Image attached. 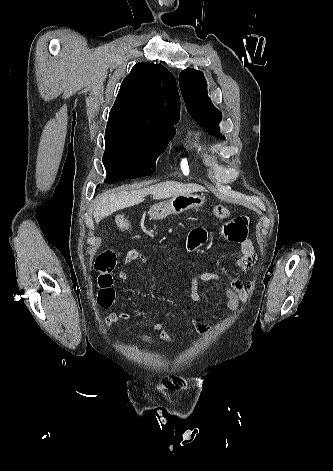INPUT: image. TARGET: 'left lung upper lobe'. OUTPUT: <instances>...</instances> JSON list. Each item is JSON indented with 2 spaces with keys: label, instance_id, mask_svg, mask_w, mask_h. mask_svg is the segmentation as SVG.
I'll return each instance as SVG.
<instances>
[{
  "label": "left lung upper lobe",
  "instance_id": "1",
  "mask_svg": "<svg viewBox=\"0 0 333 471\" xmlns=\"http://www.w3.org/2000/svg\"><path fill=\"white\" fill-rule=\"evenodd\" d=\"M179 85L191 117L207 132L224 139L219 128L222 113L207 95V82L203 73L187 68L180 73Z\"/></svg>",
  "mask_w": 333,
  "mask_h": 471
}]
</instances>
